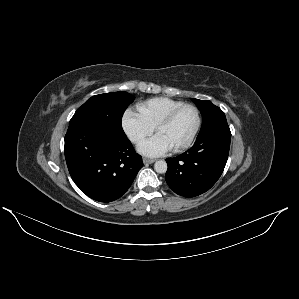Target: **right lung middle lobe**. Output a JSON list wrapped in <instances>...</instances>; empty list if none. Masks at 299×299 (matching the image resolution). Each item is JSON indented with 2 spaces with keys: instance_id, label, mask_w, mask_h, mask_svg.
Returning a JSON list of instances; mask_svg holds the SVG:
<instances>
[{
  "instance_id": "dd1d6c3e",
  "label": "right lung middle lobe",
  "mask_w": 299,
  "mask_h": 299,
  "mask_svg": "<svg viewBox=\"0 0 299 299\" xmlns=\"http://www.w3.org/2000/svg\"><path fill=\"white\" fill-rule=\"evenodd\" d=\"M134 101L127 92H111L92 96L77 109L69 126L79 124L106 125L123 134L121 119L126 108Z\"/></svg>"
}]
</instances>
